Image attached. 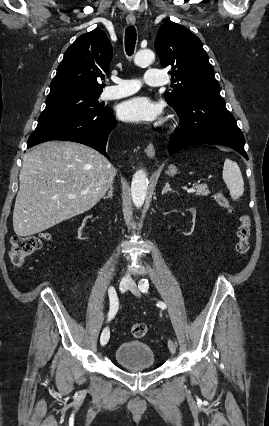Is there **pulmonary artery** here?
I'll return each mask as SVG.
<instances>
[{
    "label": "pulmonary artery",
    "mask_w": 269,
    "mask_h": 426,
    "mask_svg": "<svg viewBox=\"0 0 269 426\" xmlns=\"http://www.w3.org/2000/svg\"><path fill=\"white\" fill-rule=\"evenodd\" d=\"M143 79L149 85L160 86L165 84L166 75L161 69L148 68L144 73ZM114 82L116 83L115 86H110L104 90L103 98L105 100L120 99L134 94L139 89V83L136 80L116 78Z\"/></svg>",
    "instance_id": "obj_1"
}]
</instances>
